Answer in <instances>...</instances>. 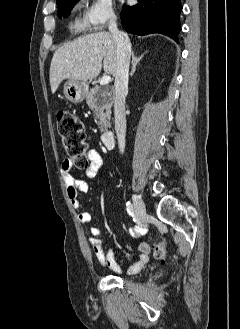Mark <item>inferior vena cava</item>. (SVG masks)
Returning <instances> with one entry per match:
<instances>
[{"instance_id":"1","label":"inferior vena cava","mask_w":240,"mask_h":329,"mask_svg":"<svg viewBox=\"0 0 240 329\" xmlns=\"http://www.w3.org/2000/svg\"><path fill=\"white\" fill-rule=\"evenodd\" d=\"M109 31L117 46V68L115 73L114 116L115 131L118 147L121 153L125 149L126 116L125 98L128 93L129 63L131 56V43L128 36L117 28V18L112 17L109 22Z\"/></svg>"}]
</instances>
